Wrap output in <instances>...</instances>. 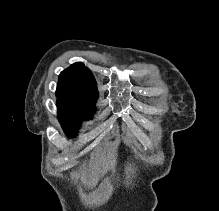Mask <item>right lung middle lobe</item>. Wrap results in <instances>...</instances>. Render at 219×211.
<instances>
[{
  "label": "right lung middle lobe",
  "mask_w": 219,
  "mask_h": 211,
  "mask_svg": "<svg viewBox=\"0 0 219 211\" xmlns=\"http://www.w3.org/2000/svg\"><path fill=\"white\" fill-rule=\"evenodd\" d=\"M57 107L59 122L69 137L76 136L80 128V121L90 119L95 112L94 106L77 103L57 101Z\"/></svg>",
  "instance_id": "obj_1"
}]
</instances>
